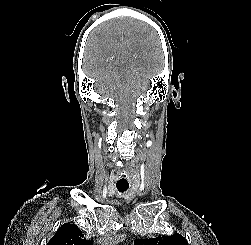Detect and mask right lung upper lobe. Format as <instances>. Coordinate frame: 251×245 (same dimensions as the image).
I'll use <instances>...</instances> for the list:
<instances>
[{
    "mask_svg": "<svg viewBox=\"0 0 251 245\" xmlns=\"http://www.w3.org/2000/svg\"><path fill=\"white\" fill-rule=\"evenodd\" d=\"M47 245H93V241L86 240L75 224L65 223L57 230Z\"/></svg>",
    "mask_w": 251,
    "mask_h": 245,
    "instance_id": "obj_1",
    "label": "right lung upper lobe"
}]
</instances>
